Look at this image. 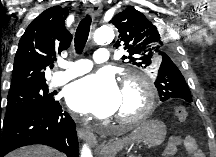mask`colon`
<instances>
[{
  "mask_svg": "<svg viewBox=\"0 0 216 157\" xmlns=\"http://www.w3.org/2000/svg\"><path fill=\"white\" fill-rule=\"evenodd\" d=\"M175 117L179 122H184L188 118V111L183 107H178L175 110Z\"/></svg>",
  "mask_w": 216,
  "mask_h": 157,
  "instance_id": "colon-1",
  "label": "colon"
}]
</instances>
